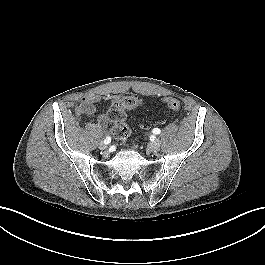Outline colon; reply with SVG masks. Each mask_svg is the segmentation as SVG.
<instances>
[{
  "mask_svg": "<svg viewBox=\"0 0 265 265\" xmlns=\"http://www.w3.org/2000/svg\"><path fill=\"white\" fill-rule=\"evenodd\" d=\"M168 108L172 111H178L181 103L174 97L165 99ZM143 105V101L135 96H124L116 99L108 110L107 117L112 124L111 131L113 136L120 140L126 141L129 137L130 130L126 124L127 111ZM82 112H85L81 109Z\"/></svg>",
  "mask_w": 265,
  "mask_h": 265,
  "instance_id": "5ec220e1",
  "label": "colon"
}]
</instances>
